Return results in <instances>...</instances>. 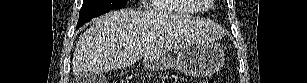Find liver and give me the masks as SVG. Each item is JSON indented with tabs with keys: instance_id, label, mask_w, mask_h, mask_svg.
Here are the masks:
<instances>
[{
	"instance_id": "liver-1",
	"label": "liver",
	"mask_w": 307,
	"mask_h": 83,
	"mask_svg": "<svg viewBox=\"0 0 307 83\" xmlns=\"http://www.w3.org/2000/svg\"><path fill=\"white\" fill-rule=\"evenodd\" d=\"M222 33L213 22L190 16L133 10L109 12L80 36L72 71L79 76L121 69L142 57L164 54L170 48L198 41H212Z\"/></svg>"
}]
</instances>
